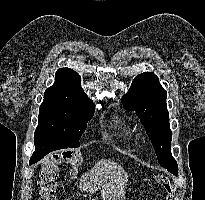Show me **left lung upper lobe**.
Segmentation results:
<instances>
[{"label": "left lung upper lobe", "mask_w": 205, "mask_h": 200, "mask_svg": "<svg viewBox=\"0 0 205 200\" xmlns=\"http://www.w3.org/2000/svg\"><path fill=\"white\" fill-rule=\"evenodd\" d=\"M167 92L151 72L136 76L121 101L127 110H134L146 127L155 148L158 162L164 168H175L171 154L172 132L166 106Z\"/></svg>", "instance_id": "obj_1"}]
</instances>
